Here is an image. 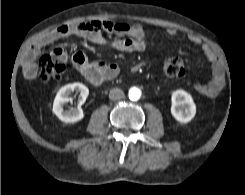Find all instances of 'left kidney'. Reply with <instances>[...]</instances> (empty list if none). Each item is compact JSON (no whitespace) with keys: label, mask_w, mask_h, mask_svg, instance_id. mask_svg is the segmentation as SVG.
Instances as JSON below:
<instances>
[{"label":"left kidney","mask_w":245,"mask_h":195,"mask_svg":"<svg viewBox=\"0 0 245 195\" xmlns=\"http://www.w3.org/2000/svg\"><path fill=\"white\" fill-rule=\"evenodd\" d=\"M171 114L179 123L190 122L196 114L192 96L184 90H176L171 96Z\"/></svg>","instance_id":"obj_1"}]
</instances>
